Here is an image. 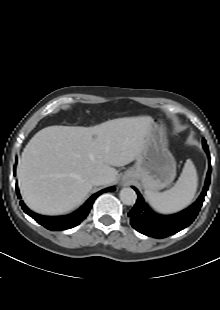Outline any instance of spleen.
Masks as SVG:
<instances>
[{
  "label": "spleen",
  "instance_id": "3e777b00",
  "mask_svg": "<svg viewBox=\"0 0 220 310\" xmlns=\"http://www.w3.org/2000/svg\"><path fill=\"white\" fill-rule=\"evenodd\" d=\"M198 186L194 164L187 160L175 185L164 192L145 191L146 198L154 210L171 214L187 207L193 200Z\"/></svg>",
  "mask_w": 220,
  "mask_h": 310
}]
</instances>
